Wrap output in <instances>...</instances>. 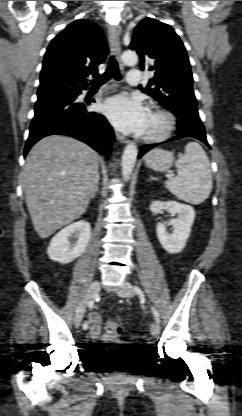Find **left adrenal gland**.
Wrapping results in <instances>:
<instances>
[{
    "label": "left adrenal gland",
    "mask_w": 242,
    "mask_h": 416,
    "mask_svg": "<svg viewBox=\"0 0 242 416\" xmlns=\"http://www.w3.org/2000/svg\"><path fill=\"white\" fill-rule=\"evenodd\" d=\"M151 180H156V178H154L153 176L150 177Z\"/></svg>",
    "instance_id": "a2214340"
}]
</instances>
